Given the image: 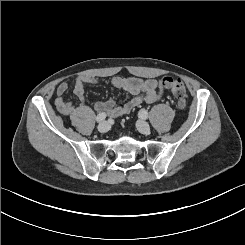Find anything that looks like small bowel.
<instances>
[{
	"instance_id": "small-bowel-1",
	"label": "small bowel",
	"mask_w": 245,
	"mask_h": 245,
	"mask_svg": "<svg viewBox=\"0 0 245 245\" xmlns=\"http://www.w3.org/2000/svg\"><path fill=\"white\" fill-rule=\"evenodd\" d=\"M97 83L98 78L94 76H78L73 82V93L83 102L85 100V85ZM111 84L132 97L122 106H116L112 99L96 103V110L106 111L113 118L131 112V110L142 103H156L161 99L164 92L162 81L156 79L116 76L111 79ZM68 90L69 84L67 82H62L58 85L55 104L61 114L68 116L73 124L80 127L89 109L85 105L75 106L72 102L67 101L64 96Z\"/></svg>"
}]
</instances>
